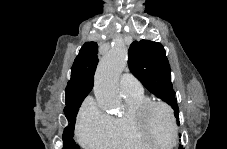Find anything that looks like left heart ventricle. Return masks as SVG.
<instances>
[{
    "label": "left heart ventricle",
    "mask_w": 227,
    "mask_h": 149,
    "mask_svg": "<svg viewBox=\"0 0 227 149\" xmlns=\"http://www.w3.org/2000/svg\"><path fill=\"white\" fill-rule=\"evenodd\" d=\"M149 136L159 144H168L172 140V125L168 113L161 107L153 108L147 117Z\"/></svg>",
    "instance_id": "left-heart-ventricle-1"
}]
</instances>
